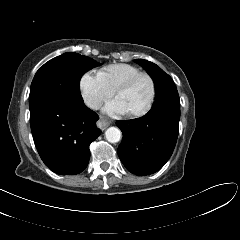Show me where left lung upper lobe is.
<instances>
[{"label":"left lung upper lobe","mask_w":240,"mask_h":240,"mask_svg":"<svg viewBox=\"0 0 240 240\" xmlns=\"http://www.w3.org/2000/svg\"><path fill=\"white\" fill-rule=\"evenodd\" d=\"M136 62L145 68L155 81L156 96L152 107L162 104L179 105V95L172 78L150 61L137 59Z\"/></svg>","instance_id":"1"}]
</instances>
